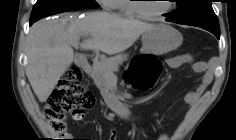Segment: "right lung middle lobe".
Segmentation results:
<instances>
[{"instance_id": "right-lung-middle-lobe-1", "label": "right lung middle lobe", "mask_w": 236, "mask_h": 140, "mask_svg": "<svg viewBox=\"0 0 236 140\" xmlns=\"http://www.w3.org/2000/svg\"><path fill=\"white\" fill-rule=\"evenodd\" d=\"M95 0H37L32 9L30 21H37L43 17L79 9L97 8Z\"/></svg>"}]
</instances>
